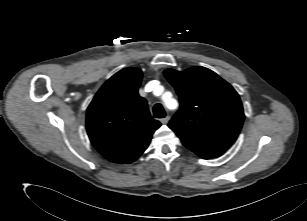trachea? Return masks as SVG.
<instances>
[{"instance_id": "obj_1", "label": "trachea", "mask_w": 307, "mask_h": 221, "mask_svg": "<svg viewBox=\"0 0 307 221\" xmlns=\"http://www.w3.org/2000/svg\"><path fill=\"white\" fill-rule=\"evenodd\" d=\"M153 114L156 118H164L166 113L163 106L159 103L155 104L153 107Z\"/></svg>"}]
</instances>
